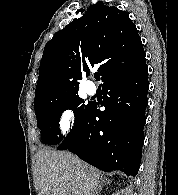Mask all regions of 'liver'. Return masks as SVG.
Listing matches in <instances>:
<instances>
[{"instance_id": "liver-1", "label": "liver", "mask_w": 178, "mask_h": 195, "mask_svg": "<svg viewBox=\"0 0 178 195\" xmlns=\"http://www.w3.org/2000/svg\"><path fill=\"white\" fill-rule=\"evenodd\" d=\"M103 180L101 171L73 154L49 149L37 153L39 195H97Z\"/></svg>"}]
</instances>
